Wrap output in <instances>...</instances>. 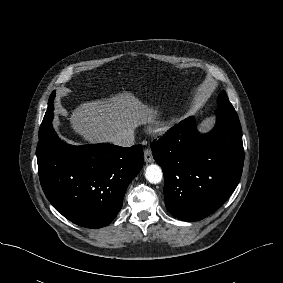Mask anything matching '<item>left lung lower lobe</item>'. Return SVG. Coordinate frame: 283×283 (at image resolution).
<instances>
[{"instance_id": "obj_1", "label": "left lung lower lobe", "mask_w": 283, "mask_h": 283, "mask_svg": "<svg viewBox=\"0 0 283 283\" xmlns=\"http://www.w3.org/2000/svg\"><path fill=\"white\" fill-rule=\"evenodd\" d=\"M214 129L199 135L189 117L151 144L164 174L167 210L184 221L216 211L237 187L243 169L242 130L234 107L219 106Z\"/></svg>"}]
</instances>
